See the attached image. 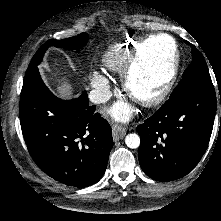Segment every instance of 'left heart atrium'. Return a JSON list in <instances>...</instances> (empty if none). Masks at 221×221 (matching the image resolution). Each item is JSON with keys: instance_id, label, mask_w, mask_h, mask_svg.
Instances as JSON below:
<instances>
[{"instance_id": "left-heart-atrium-1", "label": "left heart atrium", "mask_w": 221, "mask_h": 221, "mask_svg": "<svg viewBox=\"0 0 221 221\" xmlns=\"http://www.w3.org/2000/svg\"><path fill=\"white\" fill-rule=\"evenodd\" d=\"M112 114L116 118H129L132 115V108L129 104L127 103H121L112 108Z\"/></svg>"}]
</instances>
